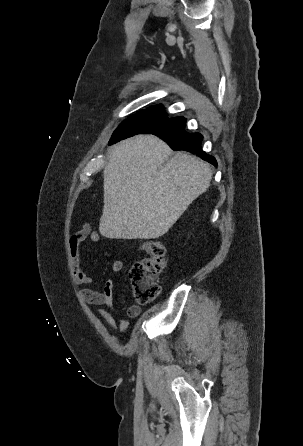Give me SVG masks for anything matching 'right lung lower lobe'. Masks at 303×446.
Returning <instances> with one entry per match:
<instances>
[{
  "mask_svg": "<svg viewBox=\"0 0 303 446\" xmlns=\"http://www.w3.org/2000/svg\"><path fill=\"white\" fill-rule=\"evenodd\" d=\"M184 117L163 118L148 127L140 134H154L163 139L173 150H184L196 154L203 160L217 166L215 158L206 154L201 143L203 136L200 133H188L185 129Z\"/></svg>",
  "mask_w": 303,
  "mask_h": 446,
  "instance_id": "98d812e1",
  "label": "right lung lower lobe"
}]
</instances>
